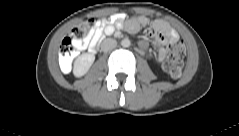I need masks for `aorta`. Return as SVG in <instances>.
I'll list each match as a JSON object with an SVG mask.
<instances>
[{
	"label": "aorta",
	"instance_id": "obj_1",
	"mask_svg": "<svg viewBox=\"0 0 239 136\" xmlns=\"http://www.w3.org/2000/svg\"><path fill=\"white\" fill-rule=\"evenodd\" d=\"M121 45H122V47L127 48V47H129V46L131 45V42H130L129 39H123V40L121 41Z\"/></svg>",
	"mask_w": 239,
	"mask_h": 136
}]
</instances>
